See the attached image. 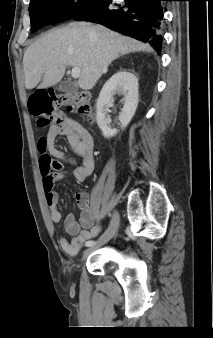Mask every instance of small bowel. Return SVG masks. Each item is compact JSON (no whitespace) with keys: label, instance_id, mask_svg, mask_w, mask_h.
I'll list each match as a JSON object with an SVG mask.
<instances>
[{"label":"small bowel","instance_id":"obj_1","mask_svg":"<svg viewBox=\"0 0 213 338\" xmlns=\"http://www.w3.org/2000/svg\"><path fill=\"white\" fill-rule=\"evenodd\" d=\"M59 136L66 137L74 152V157L56 147L55 142ZM37 148L41 153L39 167L45 203L49 209L52 224L60 227L62 215L58 209L59 192L54 188V182L67 177L63 170L64 162L75 164L78 159L82 160V165L74 169L75 179L83 182L91 175L95 166L94 138L78 121L66 118L62 124L51 126L45 135L37 138ZM75 198L77 206L83 212L78 221L72 216H68L65 220V230L71 239L68 240L63 234H58L57 237L62 251L71 257L76 256L83 244L100 230V227L93 222L88 194L85 191H79Z\"/></svg>","mask_w":213,"mask_h":338}]
</instances>
